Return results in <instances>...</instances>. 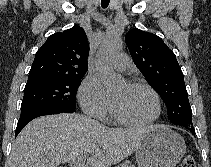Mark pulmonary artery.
Instances as JSON below:
<instances>
[{
    "mask_svg": "<svg viewBox=\"0 0 211 167\" xmlns=\"http://www.w3.org/2000/svg\"><path fill=\"white\" fill-rule=\"evenodd\" d=\"M131 60L128 55L126 54H118L115 59L113 60L112 66L121 72H126L131 67Z\"/></svg>",
    "mask_w": 211,
    "mask_h": 167,
    "instance_id": "pulmonary-artery-1",
    "label": "pulmonary artery"
}]
</instances>
